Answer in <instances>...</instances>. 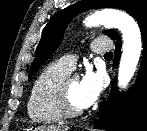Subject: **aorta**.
Instances as JSON below:
<instances>
[{
    "instance_id": "1",
    "label": "aorta",
    "mask_w": 147,
    "mask_h": 131,
    "mask_svg": "<svg viewBox=\"0 0 147 131\" xmlns=\"http://www.w3.org/2000/svg\"><path fill=\"white\" fill-rule=\"evenodd\" d=\"M86 26L104 25L121 31L123 49L118 71V86L126 88L134 75L141 54V33L136 21L128 14L105 9L88 16L84 21Z\"/></svg>"
}]
</instances>
